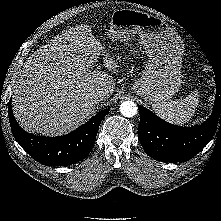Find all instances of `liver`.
<instances>
[{"instance_id": "obj_1", "label": "liver", "mask_w": 221, "mask_h": 221, "mask_svg": "<svg viewBox=\"0 0 221 221\" xmlns=\"http://www.w3.org/2000/svg\"><path fill=\"white\" fill-rule=\"evenodd\" d=\"M102 46L88 25H76L43 45L25 62L14 86L12 109L24 130L44 136L69 133L95 111L92 93L114 92L111 75L92 71ZM105 67L117 64L107 55Z\"/></svg>"}]
</instances>
